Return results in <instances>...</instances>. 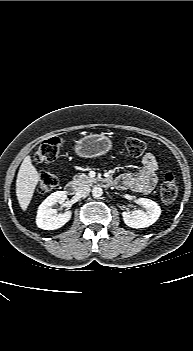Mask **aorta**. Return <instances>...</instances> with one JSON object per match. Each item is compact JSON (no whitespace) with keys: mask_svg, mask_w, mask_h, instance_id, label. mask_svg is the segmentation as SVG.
Instances as JSON below:
<instances>
[{"mask_svg":"<svg viewBox=\"0 0 193 351\" xmlns=\"http://www.w3.org/2000/svg\"><path fill=\"white\" fill-rule=\"evenodd\" d=\"M92 195L95 197V198H99L103 195V189L101 187H97L95 186L93 189H92Z\"/></svg>","mask_w":193,"mask_h":351,"instance_id":"762f6f07","label":"aorta"}]
</instances>
